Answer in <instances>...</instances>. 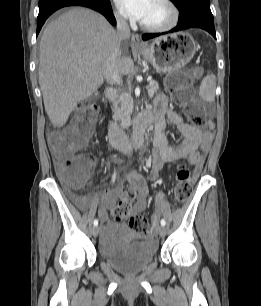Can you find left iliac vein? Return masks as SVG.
Listing matches in <instances>:
<instances>
[{"instance_id":"1","label":"left iliac vein","mask_w":261,"mask_h":306,"mask_svg":"<svg viewBox=\"0 0 261 306\" xmlns=\"http://www.w3.org/2000/svg\"><path fill=\"white\" fill-rule=\"evenodd\" d=\"M157 231L160 237H164L166 234V228L164 226H158Z\"/></svg>"}]
</instances>
